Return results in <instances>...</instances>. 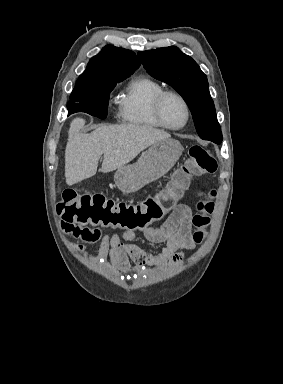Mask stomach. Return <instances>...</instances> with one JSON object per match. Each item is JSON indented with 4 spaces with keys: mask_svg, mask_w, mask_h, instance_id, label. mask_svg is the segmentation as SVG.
Here are the masks:
<instances>
[{
    "mask_svg": "<svg viewBox=\"0 0 283 384\" xmlns=\"http://www.w3.org/2000/svg\"><path fill=\"white\" fill-rule=\"evenodd\" d=\"M183 150L180 142L171 138L156 142L146 152H142L136 164L118 168L114 176L116 186L123 194L138 192L146 184L167 174L182 156Z\"/></svg>",
    "mask_w": 283,
    "mask_h": 384,
    "instance_id": "stomach-1",
    "label": "stomach"
}]
</instances>
